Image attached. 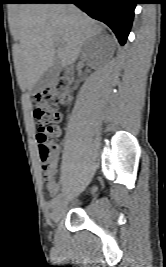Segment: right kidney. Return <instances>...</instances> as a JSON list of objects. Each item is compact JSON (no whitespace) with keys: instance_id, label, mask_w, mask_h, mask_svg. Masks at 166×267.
Wrapping results in <instances>:
<instances>
[{"instance_id":"ca27d5eb","label":"right kidney","mask_w":166,"mask_h":267,"mask_svg":"<svg viewBox=\"0 0 166 267\" xmlns=\"http://www.w3.org/2000/svg\"><path fill=\"white\" fill-rule=\"evenodd\" d=\"M100 41H93L89 42L88 46L86 47L84 51V57H91L96 53V50L100 46Z\"/></svg>"}]
</instances>
